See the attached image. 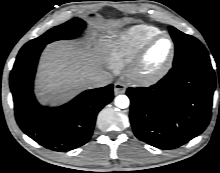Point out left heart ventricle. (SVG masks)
Listing matches in <instances>:
<instances>
[{
	"mask_svg": "<svg viewBox=\"0 0 220 173\" xmlns=\"http://www.w3.org/2000/svg\"><path fill=\"white\" fill-rule=\"evenodd\" d=\"M170 44L166 38H161L154 43L146 54L144 69L153 72L159 69L166 61L169 53Z\"/></svg>",
	"mask_w": 220,
	"mask_h": 173,
	"instance_id": "1",
	"label": "left heart ventricle"
}]
</instances>
